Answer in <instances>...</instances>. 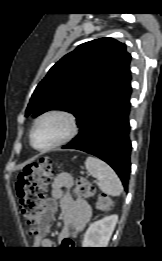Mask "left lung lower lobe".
I'll return each mask as SVG.
<instances>
[{
    "label": "left lung lower lobe",
    "mask_w": 162,
    "mask_h": 261,
    "mask_svg": "<svg viewBox=\"0 0 162 261\" xmlns=\"http://www.w3.org/2000/svg\"><path fill=\"white\" fill-rule=\"evenodd\" d=\"M131 81V80H130ZM130 81L99 106L64 149L87 152L108 163L127 190L131 168Z\"/></svg>",
    "instance_id": "1"
}]
</instances>
